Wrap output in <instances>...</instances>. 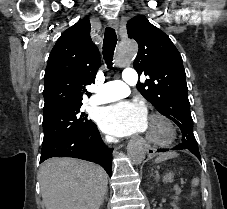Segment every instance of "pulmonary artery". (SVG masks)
Instances as JSON below:
<instances>
[{"label": "pulmonary artery", "mask_w": 227, "mask_h": 209, "mask_svg": "<svg viewBox=\"0 0 227 209\" xmlns=\"http://www.w3.org/2000/svg\"><path fill=\"white\" fill-rule=\"evenodd\" d=\"M124 80H118L121 84L113 82H97V87H91L89 95L92 92H103L92 96L89 102L95 105L109 103L127 96L130 93V85L137 83L136 73L133 70L123 71Z\"/></svg>", "instance_id": "pulmonary-artery-1"}]
</instances>
